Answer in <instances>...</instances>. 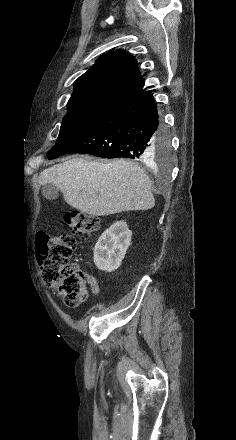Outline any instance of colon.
<instances>
[{
	"mask_svg": "<svg viewBox=\"0 0 236 440\" xmlns=\"http://www.w3.org/2000/svg\"><path fill=\"white\" fill-rule=\"evenodd\" d=\"M69 233L49 236L44 232L35 235L41 276L47 286L60 295L69 307L87 300L86 275L70 258L76 248V238L87 239L100 228L97 217L71 211L65 214Z\"/></svg>",
	"mask_w": 236,
	"mask_h": 440,
	"instance_id": "1",
	"label": "colon"
}]
</instances>
